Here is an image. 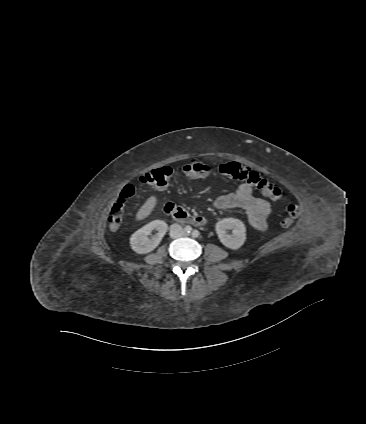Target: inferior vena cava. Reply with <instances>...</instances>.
<instances>
[{
  "label": "inferior vena cava",
  "instance_id": "602c4592",
  "mask_svg": "<svg viewBox=\"0 0 366 424\" xmlns=\"http://www.w3.org/2000/svg\"><path fill=\"white\" fill-rule=\"evenodd\" d=\"M182 235V227L179 224H172L170 226V237L171 238H178Z\"/></svg>",
  "mask_w": 366,
  "mask_h": 424
}]
</instances>
